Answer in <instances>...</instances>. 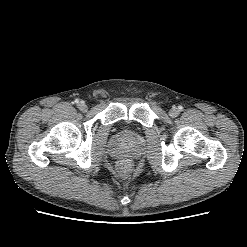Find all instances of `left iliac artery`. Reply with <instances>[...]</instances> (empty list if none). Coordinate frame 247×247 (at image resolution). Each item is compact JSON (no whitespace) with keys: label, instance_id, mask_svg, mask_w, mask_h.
Returning a JSON list of instances; mask_svg holds the SVG:
<instances>
[{"label":"left iliac artery","instance_id":"44dca946","mask_svg":"<svg viewBox=\"0 0 247 247\" xmlns=\"http://www.w3.org/2000/svg\"><path fill=\"white\" fill-rule=\"evenodd\" d=\"M178 108H179V110H182L183 109L182 106H179Z\"/></svg>","mask_w":247,"mask_h":247}]
</instances>
